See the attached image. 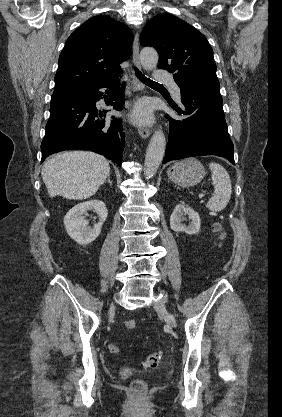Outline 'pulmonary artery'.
I'll list each match as a JSON object with an SVG mask.
<instances>
[{"mask_svg": "<svg viewBox=\"0 0 282 417\" xmlns=\"http://www.w3.org/2000/svg\"><path fill=\"white\" fill-rule=\"evenodd\" d=\"M154 71L156 73H159L161 71V68L159 66H156L154 68ZM155 81H156V83H171L172 76H171V74H156ZM171 85H172V88H173L175 98L177 100H179L180 99V89H179V87L174 82H172Z\"/></svg>", "mask_w": 282, "mask_h": 417, "instance_id": "1", "label": "pulmonary artery"}]
</instances>
